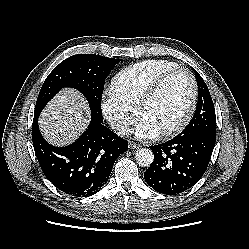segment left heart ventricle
Masks as SVG:
<instances>
[{"label": "left heart ventricle", "instance_id": "1", "mask_svg": "<svg viewBox=\"0 0 249 249\" xmlns=\"http://www.w3.org/2000/svg\"><path fill=\"white\" fill-rule=\"evenodd\" d=\"M190 93L188 75L182 71L177 72L164 82L142 117L162 131L175 124L183 116L189 104Z\"/></svg>", "mask_w": 249, "mask_h": 249}]
</instances>
